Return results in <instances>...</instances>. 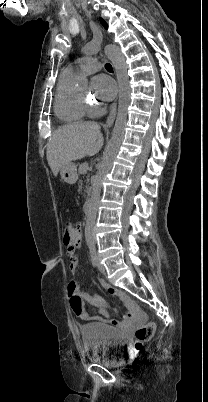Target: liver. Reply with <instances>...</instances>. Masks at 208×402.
<instances>
[{
  "mask_svg": "<svg viewBox=\"0 0 208 402\" xmlns=\"http://www.w3.org/2000/svg\"><path fill=\"white\" fill-rule=\"evenodd\" d=\"M100 130L96 122H75L56 130L47 148V160L54 176H58L65 164L98 154L104 144Z\"/></svg>",
  "mask_w": 208,
  "mask_h": 402,
  "instance_id": "obj_1",
  "label": "liver"
}]
</instances>
